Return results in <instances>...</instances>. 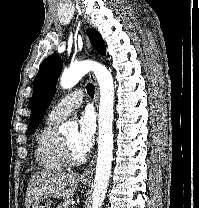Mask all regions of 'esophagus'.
Returning a JSON list of instances; mask_svg holds the SVG:
<instances>
[{"label": "esophagus", "mask_w": 199, "mask_h": 208, "mask_svg": "<svg viewBox=\"0 0 199 208\" xmlns=\"http://www.w3.org/2000/svg\"><path fill=\"white\" fill-rule=\"evenodd\" d=\"M85 49L86 51H89L90 49V44L88 39L86 38L85 40ZM90 79L93 81L94 85H95V97H94V102L96 107H98V102H99V88H98V84L97 81L95 79V76L93 73L90 74ZM94 164H95V157L92 159L91 163L89 164V166L85 169V171L82 174V178H91L93 175V171H94Z\"/></svg>", "instance_id": "esophagus-1"}]
</instances>
